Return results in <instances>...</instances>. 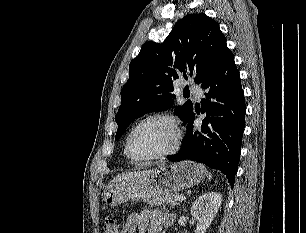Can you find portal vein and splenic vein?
<instances>
[{"mask_svg": "<svg viewBox=\"0 0 306 233\" xmlns=\"http://www.w3.org/2000/svg\"><path fill=\"white\" fill-rule=\"evenodd\" d=\"M178 200H179V201H184V200H186V197H185V196H180V197L178 198Z\"/></svg>", "mask_w": 306, "mask_h": 233, "instance_id": "portal-vein-and-splenic-vein-1", "label": "portal vein and splenic vein"}]
</instances>
